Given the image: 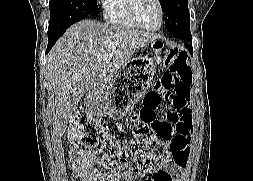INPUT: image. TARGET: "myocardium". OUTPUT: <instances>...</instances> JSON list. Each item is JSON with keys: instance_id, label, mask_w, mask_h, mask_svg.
<instances>
[{"instance_id": "obj_1", "label": "myocardium", "mask_w": 253, "mask_h": 181, "mask_svg": "<svg viewBox=\"0 0 253 181\" xmlns=\"http://www.w3.org/2000/svg\"><path fill=\"white\" fill-rule=\"evenodd\" d=\"M138 2H139V0H129V3H128L129 15H130L133 23L137 26V28L144 30V31H148V32L159 31L163 27L164 20H165V8H164L162 0H156L159 10H160V22H159V25L155 28H148V27L144 26L141 23V21L139 20L138 12H137Z\"/></svg>"}]
</instances>
